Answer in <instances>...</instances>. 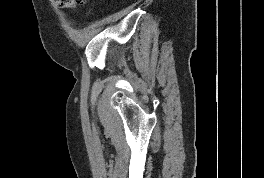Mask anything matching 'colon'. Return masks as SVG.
Wrapping results in <instances>:
<instances>
[{
    "label": "colon",
    "mask_w": 264,
    "mask_h": 178,
    "mask_svg": "<svg viewBox=\"0 0 264 178\" xmlns=\"http://www.w3.org/2000/svg\"><path fill=\"white\" fill-rule=\"evenodd\" d=\"M53 2L60 8L72 9L85 4L86 0H53Z\"/></svg>",
    "instance_id": "5ec220e1"
}]
</instances>
